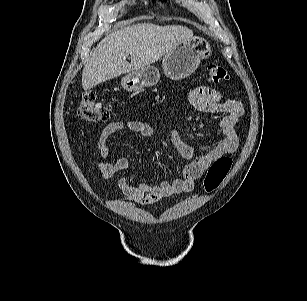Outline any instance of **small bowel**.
<instances>
[{"mask_svg":"<svg viewBox=\"0 0 307 301\" xmlns=\"http://www.w3.org/2000/svg\"><path fill=\"white\" fill-rule=\"evenodd\" d=\"M188 101L193 109L199 113L223 115L219 124L222 134L221 141L207 153L198 155L195 149L185 142L176 131H169L170 142L180 156L189 161L182 169L181 176L173 181H161L158 184L150 180L131 183L127 178L122 177L118 184L120 195L124 199L138 202L141 205H151L162 198L190 192L216 159L237 151L239 136L235 127L244 113L243 104L233 99H223L214 90L206 86L193 88L188 94ZM123 130L146 138L152 137L155 133L153 127L143 121H112L103 128L98 139V150L104 158H107L110 153V137ZM128 166L129 161L124 157L114 162L100 161L98 163V169L103 179L113 177Z\"/></svg>","mask_w":307,"mask_h":301,"instance_id":"obj_1","label":"small bowel"}]
</instances>
